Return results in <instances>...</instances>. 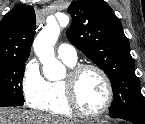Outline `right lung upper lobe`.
<instances>
[{
    "instance_id": "obj_1",
    "label": "right lung upper lobe",
    "mask_w": 145,
    "mask_h": 124,
    "mask_svg": "<svg viewBox=\"0 0 145 124\" xmlns=\"http://www.w3.org/2000/svg\"><path fill=\"white\" fill-rule=\"evenodd\" d=\"M35 29L32 6L19 4L7 13L0 22V61L27 59Z\"/></svg>"
}]
</instances>
